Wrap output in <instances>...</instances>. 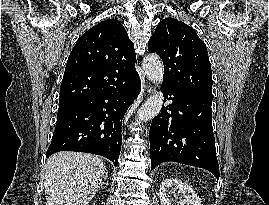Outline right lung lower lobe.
Listing matches in <instances>:
<instances>
[{"mask_svg":"<svg viewBox=\"0 0 269 205\" xmlns=\"http://www.w3.org/2000/svg\"><path fill=\"white\" fill-rule=\"evenodd\" d=\"M140 86L139 75L133 71L112 90L59 103L46 157L59 151L87 152L104 156L117 166L122 118L138 96Z\"/></svg>","mask_w":269,"mask_h":205,"instance_id":"98d812e1","label":"right lung lower lobe"}]
</instances>
